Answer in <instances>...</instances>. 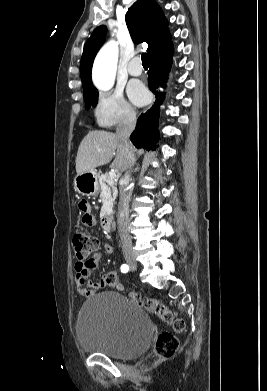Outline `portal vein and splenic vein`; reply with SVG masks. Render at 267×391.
<instances>
[{
	"instance_id": "portal-vein-and-splenic-vein-1",
	"label": "portal vein and splenic vein",
	"mask_w": 267,
	"mask_h": 391,
	"mask_svg": "<svg viewBox=\"0 0 267 391\" xmlns=\"http://www.w3.org/2000/svg\"><path fill=\"white\" fill-rule=\"evenodd\" d=\"M109 176H110L111 178H116V177H117L116 172H110V173H109Z\"/></svg>"
}]
</instances>
